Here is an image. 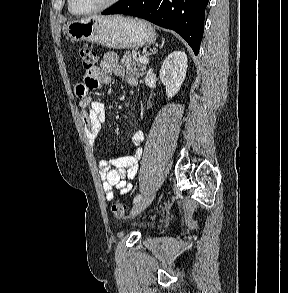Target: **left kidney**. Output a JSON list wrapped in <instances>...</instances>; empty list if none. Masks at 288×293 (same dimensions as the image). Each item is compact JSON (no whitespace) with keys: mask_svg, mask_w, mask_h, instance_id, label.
Wrapping results in <instances>:
<instances>
[{"mask_svg":"<svg viewBox=\"0 0 288 293\" xmlns=\"http://www.w3.org/2000/svg\"><path fill=\"white\" fill-rule=\"evenodd\" d=\"M187 55L174 51L164 60L160 69V79L166 87V95L172 98L178 93L186 77Z\"/></svg>","mask_w":288,"mask_h":293,"instance_id":"obj_1","label":"left kidney"}]
</instances>
